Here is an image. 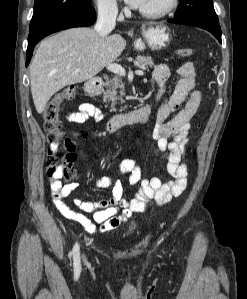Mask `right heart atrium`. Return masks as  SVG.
Returning <instances> with one entry per match:
<instances>
[{"mask_svg":"<svg viewBox=\"0 0 247 299\" xmlns=\"http://www.w3.org/2000/svg\"><path fill=\"white\" fill-rule=\"evenodd\" d=\"M100 16L106 19L115 18L119 13L117 0H95Z\"/></svg>","mask_w":247,"mask_h":299,"instance_id":"obj_1","label":"right heart atrium"}]
</instances>
